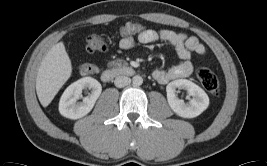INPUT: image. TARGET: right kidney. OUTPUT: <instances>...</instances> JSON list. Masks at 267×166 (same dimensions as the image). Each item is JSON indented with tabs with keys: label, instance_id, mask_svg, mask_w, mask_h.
<instances>
[{
	"label": "right kidney",
	"instance_id": "ca27d5eb",
	"mask_svg": "<svg viewBox=\"0 0 267 166\" xmlns=\"http://www.w3.org/2000/svg\"><path fill=\"white\" fill-rule=\"evenodd\" d=\"M92 90L82 98L83 89ZM102 91L101 84L92 77H84L69 85L62 94L59 102V112L62 116L70 119H79L87 115L93 108Z\"/></svg>",
	"mask_w": 267,
	"mask_h": 166
}]
</instances>
